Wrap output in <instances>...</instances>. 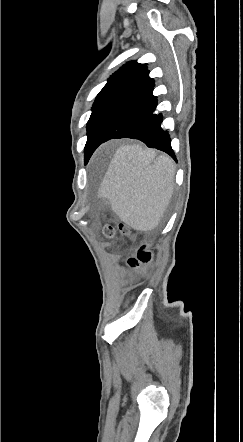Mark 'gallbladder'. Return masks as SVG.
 <instances>
[{
    "mask_svg": "<svg viewBox=\"0 0 243 442\" xmlns=\"http://www.w3.org/2000/svg\"><path fill=\"white\" fill-rule=\"evenodd\" d=\"M105 203H106L107 205H109V202H108L107 200H105Z\"/></svg>",
    "mask_w": 243,
    "mask_h": 442,
    "instance_id": "1",
    "label": "gallbladder"
}]
</instances>
